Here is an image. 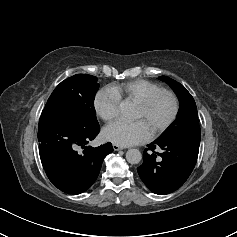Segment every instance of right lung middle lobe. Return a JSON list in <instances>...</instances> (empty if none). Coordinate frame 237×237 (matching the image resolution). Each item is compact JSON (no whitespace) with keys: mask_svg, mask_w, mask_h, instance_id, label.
Segmentation results:
<instances>
[{"mask_svg":"<svg viewBox=\"0 0 237 237\" xmlns=\"http://www.w3.org/2000/svg\"><path fill=\"white\" fill-rule=\"evenodd\" d=\"M99 88L97 77L77 74L62 81L52 92L40 120L64 123L76 131L99 127L94 109Z\"/></svg>","mask_w":237,"mask_h":237,"instance_id":"1","label":"right lung middle lobe"}]
</instances>
